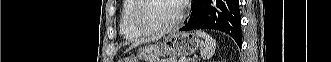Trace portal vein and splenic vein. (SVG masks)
<instances>
[{
    "label": "portal vein and splenic vein",
    "instance_id": "18ae733b",
    "mask_svg": "<svg viewBox=\"0 0 331 62\" xmlns=\"http://www.w3.org/2000/svg\"><path fill=\"white\" fill-rule=\"evenodd\" d=\"M186 60H180V62H185Z\"/></svg>",
    "mask_w": 331,
    "mask_h": 62
}]
</instances>
